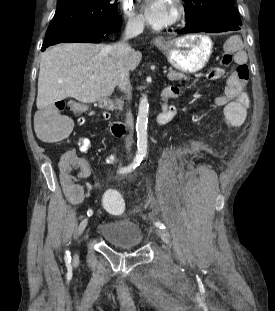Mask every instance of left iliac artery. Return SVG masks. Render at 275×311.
Listing matches in <instances>:
<instances>
[{
  "label": "left iliac artery",
  "mask_w": 275,
  "mask_h": 311,
  "mask_svg": "<svg viewBox=\"0 0 275 311\" xmlns=\"http://www.w3.org/2000/svg\"><path fill=\"white\" fill-rule=\"evenodd\" d=\"M144 156H145V154H144ZM155 226L159 227L160 229H165L164 224L160 221L155 222Z\"/></svg>",
  "instance_id": "44dca946"
}]
</instances>
